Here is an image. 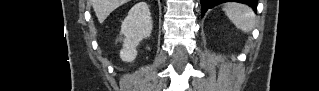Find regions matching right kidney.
I'll use <instances>...</instances> for the list:
<instances>
[{"mask_svg": "<svg viewBox=\"0 0 319 91\" xmlns=\"http://www.w3.org/2000/svg\"><path fill=\"white\" fill-rule=\"evenodd\" d=\"M151 31L152 19L149 7L145 2H139L131 8L122 22L121 32L125 38L120 58L125 62H132L137 56V45L143 38L149 37Z\"/></svg>", "mask_w": 319, "mask_h": 91, "instance_id": "1", "label": "right kidney"}]
</instances>
